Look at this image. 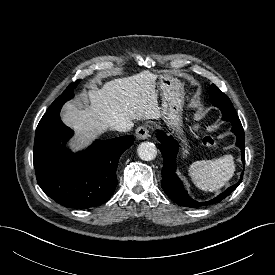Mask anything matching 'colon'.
<instances>
[{"label":"colon","mask_w":275,"mask_h":275,"mask_svg":"<svg viewBox=\"0 0 275 275\" xmlns=\"http://www.w3.org/2000/svg\"><path fill=\"white\" fill-rule=\"evenodd\" d=\"M203 145L208 149H215L217 147V141L212 136H205L203 138Z\"/></svg>","instance_id":"obj_1"}]
</instances>
